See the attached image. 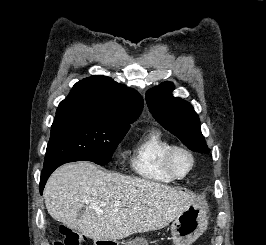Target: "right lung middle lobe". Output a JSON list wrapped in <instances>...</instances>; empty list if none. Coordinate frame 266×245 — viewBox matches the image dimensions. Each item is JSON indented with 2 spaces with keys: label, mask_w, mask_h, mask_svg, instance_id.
Listing matches in <instances>:
<instances>
[{
  "label": "right lung middle lobe",
  "mask_w": 266,
  "mask_h": 245,
  "mask_svg": "<svg viewBox=\"0 0 266 245\" xmlns=\"http://www.w3.org/2000/svg\"><path fill=\"white\" fill-rule=\"evenodd\" d=\"M129 128L130 123L96 113L74 112L56 116L44 167L79 160L105 165Z\"/></svg>",
  "instance_id": "obj_1"
}]
</instances>
